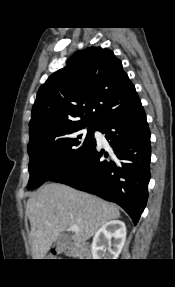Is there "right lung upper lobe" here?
Returning a JSON list of instances; mask_svg holds the SVG:
<instances>
[{
	"label": "right lung upper lobe",
	"instance_id": "right-lung-upper-lobe-1",
	"mask_svg": "<svg viewBox=\"0 0 175 287\" xmlns=\"http://www.w3.org/2000/svg\"><path fill=\"white\" fill-rule=\"evenodd\" d=\"M139 101L112 51L101 47L78 51L40 87L29 124V144L71 128L99 126Z\"/></svg>",
	"mask_w": 175,
	"mask_h": 287
}]
</instances>
